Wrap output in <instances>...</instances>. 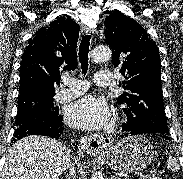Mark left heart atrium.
Returning <instances> with one entry per match:
<instances>
[{"instance_id": "39dd6f15", "label": "left heart atrium", "mask_w": 183, "mask_h": 179, "mask_svg": "<svg viewBox=\"0 0 183 179\" xmlns=\"http://www.w3.org/2000/svg\"><path fill=\"white\" fill-rule=\"evenodd\" d=\"M66 118L74 127L84 130H98L108 123L110 111L103 99L87 95L68 107Z\"/></svg>"}]
</instances>
